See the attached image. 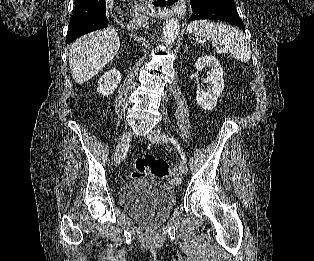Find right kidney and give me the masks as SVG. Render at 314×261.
<instances>
[{"mask_svg":"<svg viewBox=\"0 0 314 261\" xmlns=\"http://www.w3.org/2000/svg\"><path fill=\"white\" fill-rule=\"evenodd\" d=\"M120 81L121 73L116 69H111L100 78L97 92L103 96L111 95L114 93Z\"/></svg>","mask_w":314,"mask_h":261,"instance_id":"1","label":"right kidney"}]
</instances>
